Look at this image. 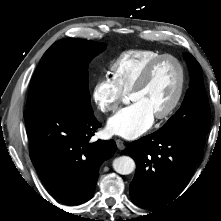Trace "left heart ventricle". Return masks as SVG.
Returning <instances> with one entry per match:
<instances>
[{"instance_id": "left-heart-ventricle-1", "label": "left heart ventricle", "mask_w": 221, "mask_h": 221, "mask_svg": "<svg viewBox=\"0 0 221 221\" xmlns=\"http://www.w3.org/2000/svg\"><path fill=\"white\" fill-rule=\"evenodd\" d=\"M179 83V69L172 60L160 63L148 83L130 95V101L141 103L155 116L173 100Z\"/></svg>"}]
</instances>
